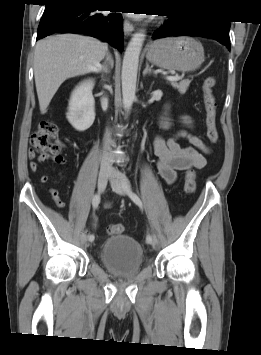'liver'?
<instances>
[{"label": "liver", "mask_w": 261, "mask_h": 355, "mask_svg": "<svg viewBox=\"0 0 261 355\" xmlns=\"http://www.w3.org/2000/svg\"><path fill=\"white\" fill-rule=\"evenodd\" d=\"M108 51L99 40L63 34L38 41L34 53V77L40 112L45 114L53 96L67 79L97 72Z\"/></svg>", "instance_id": "1"}]
</instances>
